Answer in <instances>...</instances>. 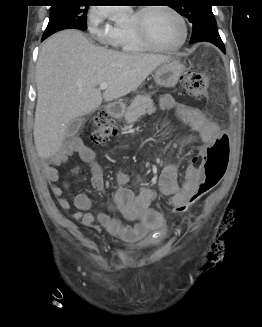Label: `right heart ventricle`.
Listing matches in <instances>:
<instances>
[{
	"label": "right heart ventricle",
	"instance_id": "obj_1",
	"mask_svg": "<svg viewBox=\"0 0 262 327\" xmlns=\"http://www.w3.org/2000/svg\"><path fill=\"white\" fill-rule=\"evenodd\" d=\"M118 38L117 47L124 52L131 53H142L149 48H147L134 34L129 26H117Z\"/></svg>",
	"mask_w": 262,
	"mask_h": 327
}]
</instances>
